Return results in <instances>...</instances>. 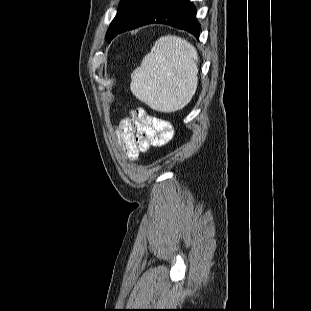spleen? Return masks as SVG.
I'll list each match as a JSON object with an SVG mask.
<instances>
[{
  "label": "spleen",
  "mask_w": 311,
  "mask_h": 311,
  "mask_svg": "<svg viewBox=\"0 0 311 311\" xmlns=\"http://www.w3.org/2000/svg\"><path fill=\"white\" fill-rule=\"evenodd\" d=\"M198 60L196 48L185 39L160 37L131 74V92L153 110H180L196 92Z\"/></svg>",
  "instance_id": "spleen-1"
}]
</instances>
